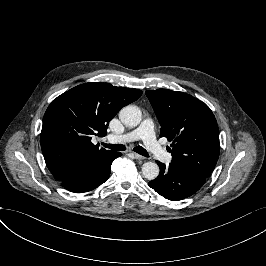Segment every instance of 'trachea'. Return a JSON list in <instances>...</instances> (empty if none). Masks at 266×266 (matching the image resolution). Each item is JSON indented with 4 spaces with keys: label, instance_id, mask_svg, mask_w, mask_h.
I'll list each match as a JSON object with an SVG mask.
<instances>
[{
    "label": "trachea",
    "instance_id": "3493384b",
    "mask_svg": "<svg viewBox=\"0 0 266 266\" xmlns=\"http://www.w3.org/2000/svg\"><path fill=\"white\" fill-rule=\"evenodd\" d=\"M102 145L106 148H110L112 150H117V151H124L126 150V147L122 144H106L102 143ZM135 152H137L140 155H143L145 157H149L148 152L142 147V146H136L133 149Z\"/></svg>",
    "mask_w": 266,
    "mask_h": 266
}]
</instances>
